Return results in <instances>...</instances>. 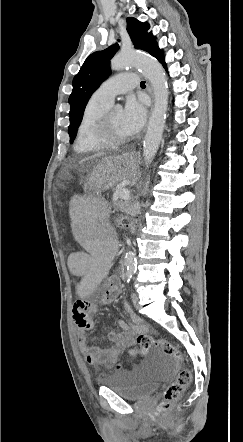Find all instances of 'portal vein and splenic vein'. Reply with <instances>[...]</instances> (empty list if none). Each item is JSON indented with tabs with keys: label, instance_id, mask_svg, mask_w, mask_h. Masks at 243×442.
<instances>
[{
	"label": "portal vein and splenic vein",
	"instance_id": "portal-vein-and-splenic-vein-1",
	"mask_svg": "<svg viewBox=\"0 0 243 442\" xmlns=\"http://www.w3.org/2000/svg\"><path fill=\"white\" fill-rule=\"evenodd\" d=\"M130 194L129 191L125 188H120L117 193L115 194V199H122V200H127L129 198Z\"/></svg>",
	"mask_w": 243,
	"mask_h": 442
}]
</instances>
